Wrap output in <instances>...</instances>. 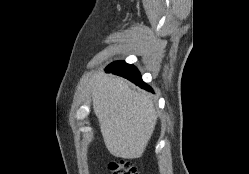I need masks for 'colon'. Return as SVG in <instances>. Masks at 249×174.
Segmentation results:
<instances>
[{
  "instance_id": "colon-1",
  "label": "colon",
  "mask_w": 249,
  "mask_h": 174,
  "mask_svg": "<svg viewBox=\"0 0 249 174\" xmlns=\"http://www.w3.org/2000/svg\"><path fill=\"white\" fill-rule=\"evenodd\" d=\"M112 174H138L137 168L127 160H116L109 163Z\"/></svg>"
}]
</instances>
